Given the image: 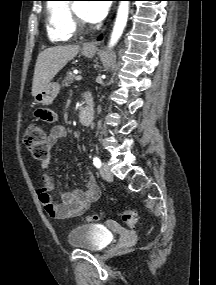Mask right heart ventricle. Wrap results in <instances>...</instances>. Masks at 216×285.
I'll list each match as a JSON object with an SVG mask.
<instances>
[{"label": "right heart ventricle", "instance_id": "1", "mask_svg": "<svg viewBox=\"0 0 216 285\" xmlns=\"http://www.w3.org/2000/svg\"><path fill=\"white\" fill-rule=\"evenodd\" d=\"M69 6L63 0H51L46 4V32L52 43L68 42L75 34Z\"/></svg>", "mask_w": 216, "mask_h": 285}]
</instances>
